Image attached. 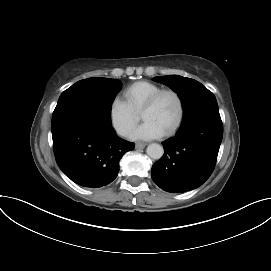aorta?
Masks as SVG:
<instances>
[{
	"mask_svg": "<svg viewBox=\"0 0 271 271\" xmlns=\"http://www.w3.org/2000/svg\"><path fill=\"white\" fill-rule=\"evenodd\" d=\"M146 153L150 158L158 160L163 156L164 150L161 145L152 143L148 145Z\"/></svg>",
	"mask_w": 271,
	"mask_h": 271,
	"instance_id": "aorta-1",
	"label": "aorta"
}]
</instances>
